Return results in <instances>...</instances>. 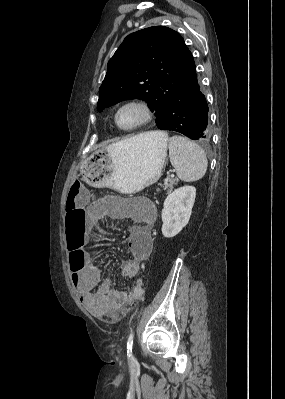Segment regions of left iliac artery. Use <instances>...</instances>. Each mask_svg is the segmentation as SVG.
Here are the masks:
<instances>
[{"label": "left iliac artery", "instance_id": "44dca946", "mask_svg": "<svg viewBox=\"0 0 285 399\" xmlns=\"http://www.w3.org/2000/svg\"><path fill=\"white\" fill-rule=\"evenodd\" d=\"M133 335L134 333L131 331L128 341H127V356L131 357L132 356V348H133Z\"/></svg>", "mask_w": 285, "mask_h": 399}]
</instances>
